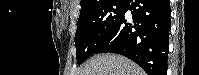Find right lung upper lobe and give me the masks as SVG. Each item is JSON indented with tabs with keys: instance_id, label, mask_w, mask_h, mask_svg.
Returning <instances> with one entry per match:
<instances>
[{
	"instance_id": "cb5924a9",
	"label": "right lung upper lobe",
	"mask_w": 199,
	"mask_h": 75,
	"mask_svg": "<svg viewBox=\"0 0 199 75\" xmlns=\"http://www.w3.org/2000/svg\"><path fill=\"white\" fill-rule=\"evenodd\" d=\"M105 0H81V11H85Z\"/></svg>"
}]
</instances>
